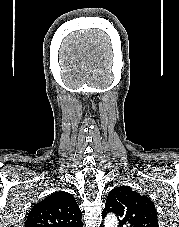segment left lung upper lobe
Segmentation results:
<instances>
[{"label":"left lung upper lobe","mask_w":179,"mask_h":227,"mask_svg":"<svg viewBox=\"0 0 179 227\" xmlns=\"http://www.w3.org/2000/svg\"><path fill=\"white\" fill-rule=\"evenodd\" d=\"M109 212L119 216L120 227H159L157 212L150 198L127 186L109 192L102 216Z\"/></svg>","instance_id":"left-lung-upper-lobe-1"}]
</instances>
